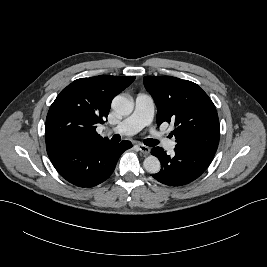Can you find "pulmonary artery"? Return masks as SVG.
Instances as JSON below:
<instances>
[{
    "label": "pulmonary artery",
    "mask_w": 267,
    "mask_h": 267,
    "mask_svg": "<svg viewBox=\"0 0 267 267\" xmlns=\"http://www.w3.org/2000/svg\"><path fill=\"white\" fill-rule=\"evenodd\" d=\"M154 110V101L152 97L145 93H139L135 99V108L133 113L121 121L118 125L111 128L109 132L120 135H132L137 133L143 127L149 125L152 121ZM152 136L161 142L168 150H174L176 146L175 140L166 139L161 133L152 131Z\"/></svg>",
    "instance_id": "1"
}]
</instances>
